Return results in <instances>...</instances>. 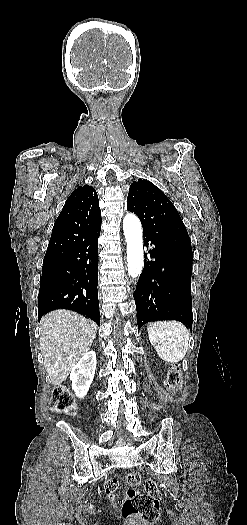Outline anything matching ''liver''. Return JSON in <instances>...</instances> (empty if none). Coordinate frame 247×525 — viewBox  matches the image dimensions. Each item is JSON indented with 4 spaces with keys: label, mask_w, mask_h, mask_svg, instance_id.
<instances>
[{
    "label": "liver",
    "mask_w": 247,
    "mask_h": 525,
    "mask_svg": "<svg viewBox=\"0 0 247 525\" xmlns=\"http://www.w3.org/2000/svg\"><path fill=\"white\" fill-rule=\"evenodd\" d=\"M40 351L50 383L61 385L76 363L86 355L98 325L74 311H51L40 321Z\"/></svg>",
    "instance_id": "1"
}]
</instances>
